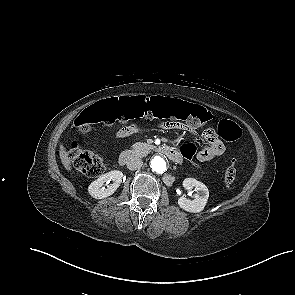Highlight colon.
Returning <instances> with one entry per match:
<instances>
[{
	"label": "colon",
	"mask_w": 295,
	"mask_h": 295,
	"mask_svg": "<svg viewBox=\"0 0 295 295\" xmlns=\"http://www.w3.org/2000/svg\"><path fill=\"white\" fill-rule=\"evenodd\" d=\"M139 117L183 121L189 127H202L212 119L211 114L205 108L196 104L160 97L151 99L138 97L92 105L79 114L74 122V127L80 134L86 135L95 123L113 125L117 122L124 123ZM217 133L227 141H235L241 137L242 130L236 123L223 119L217 125ZM180 154L194 168L198 170L207 169V164L195 161L197 151L192 144L184 145ZM68 155L75 168L84 176L97 177L104 172L105 166L102 158L98 154L83 148L76 141L71 143ZM236 176L237 168L233 161L225 171V183H233Z\"/></svg>",
	"instance_id": "obj_1"
}]
</instances>
